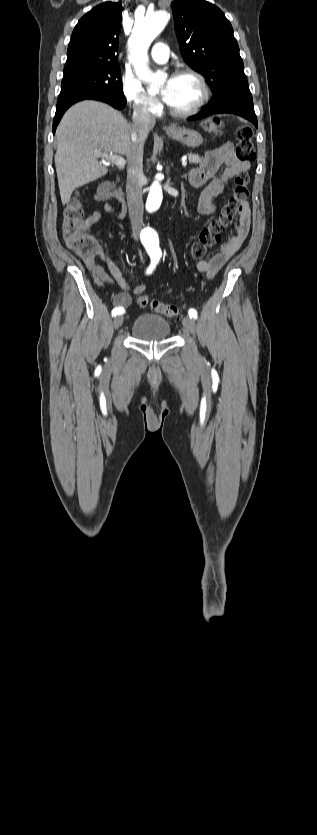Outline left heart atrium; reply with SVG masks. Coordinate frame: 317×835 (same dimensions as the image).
<instances>
[{"label": "left heart atrium", "instance_id": "left-heart-atrium-1", "mask_svg": "<svg viewBox=\"0 0 317 835\" xmlns=\"http://www.w3.org/2000/svg\"><path fill=\"white\" fill-rule=\"evenodd\" d=\"M170 84L167 85L166 91L164 93V100L167 102L168 100V91H169Z\"/></svg>", "mask_w": 317, "mask_h": 835}]
</instances>
